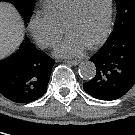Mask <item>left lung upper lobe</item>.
<instances>
[{
	"label": "left lung upper lobe",
	"mask_w": 135,
	"mask_h": 135,
	"mask_svg": "<svg viewBox=\"0 0 135 135\" xmlns=\"http://www.w3.org/2000/svg\"><path fill=\"white\" fill-rule=\"evenodd\" d=\"M117 15L110 39L130 31L135 25V0H116Z\"/></svg>",
	"instance_id": "obj_1"
}]
</instances>
